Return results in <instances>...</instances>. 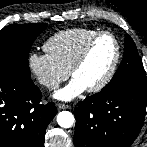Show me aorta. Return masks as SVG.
<instances>
[{
	"mask_svg": "<svg viewBox=\"0 0 147 147\" xmlns=\"http://www.w3.org/2000/svg\"><path fill=\"white\" fill-rule=\"evenodd\" d=\"M75 118L69 111H62L57 115V123L60 127L70 128L73 126Z\"/></svg>",
	"mask_w": 147,
	"mask_h": 147,
	"instance_id": "aorta-1",
	"label": "aorta"
}]
</instances>
